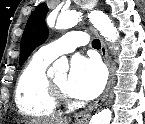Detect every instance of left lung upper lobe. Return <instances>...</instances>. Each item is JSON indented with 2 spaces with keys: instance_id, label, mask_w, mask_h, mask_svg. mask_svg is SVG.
<instances>
[{
  "instance_id": "left-lung-upper-lobe-1",
  "label": "left lung upper lobe",
  "mask_w": 145,
  "mask_h": 124,
  "mask_svg": "<svg viewBox=\"0 0 145 124\" xmlns=\"http://www.w3.org/2000/svg\"><path fill=\"white\" fill-rule=\"evenodd\" d=\"M47 13V5L41 3L29 17L20 45V64H23L32 51L47 39L49 33L45 23Z\"/></svg>"
}]
</instances>
